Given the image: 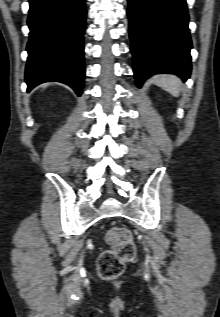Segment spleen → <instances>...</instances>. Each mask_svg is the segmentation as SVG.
<instances>
[{"label":"spleen","instance_id":"3e777b00","mask_svg":"<svg viewBox=\"0 0 220 317\" xmlns=\"http://www.w3.org/2000/svg\"><path fill=\"white\" fill-rule=\"evenodd\" d=\"M152 81L173 95L177 96L181 91V81L175 75H156L152 78Z\"/></svg>","mask_w":220,"mask_h":317}]
</instances>
